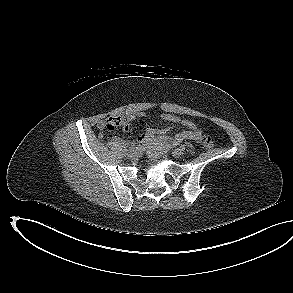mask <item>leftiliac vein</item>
I'll use <instances>...</instances> for the list:
<instances>
[{
  "instance_id": "left-iliac-vein-1",
  "label": "left iliac vein",
  "mask_w": 293,
  "mask_h": 293,
  "mask_svg": "<svg viewBox=\"0 0 293 293\" xmlns=\"http://www.w3.org/2000/svg\"><path fill=\"white\" fill-rule=\"evenodd\" d=\"M182 154H183V152H182V150L179 149V148H176V149L173 150V156L176 157V158L181 157Z\"/></svg>"
}]
</instances>
